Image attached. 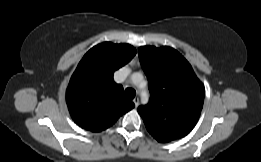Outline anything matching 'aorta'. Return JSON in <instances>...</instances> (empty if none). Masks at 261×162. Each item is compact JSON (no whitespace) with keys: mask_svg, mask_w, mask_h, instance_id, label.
<instances>
[{"mask_svg":"<svg viewBox=\"0 0 261 162\" xmlns=\"http://www.w3.org/2000/svg\"><path fill=\"white\" fill-rule=\"evenodd\" d=\"M132 78L134 80V79H142L143 77H142V74H140V73H134Z\"/></svg>","mask_w":261,"mask_h":162,"instance_id":"aorta-1","label":"aorta"}]
</instances>
